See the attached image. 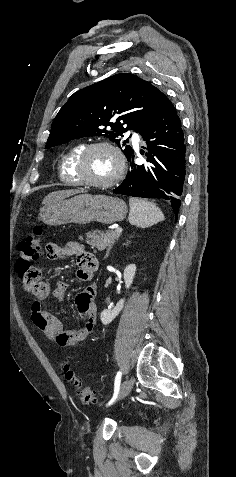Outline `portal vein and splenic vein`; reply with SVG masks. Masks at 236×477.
<instances>
[{
  "label": "portal vein and splenic vein",
  "mask_w": 236,
  "mask_h": 477,
  "mask_svg": "<svg viewBox=\"0 0 236 477\" xmlns=\"http://www.w3.org/2000/svg\"><path fill=\"white\" fill-rule=\"evenodd\" d=\"M115 232H116L117 234H121V233H122V228H117Z\"/></svg>",
  "instance_id": "1"
}]
</instances>
